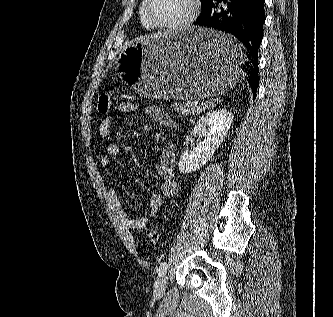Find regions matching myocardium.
I'll return each mask as SVG.
<instances>
[{
  "mask_svg": "<svg viewBox=\"0 0 333 317\" xmlns=\"http://www.w3.org/2000/svg\"><path fill=\"white\" fill-rule=\"evenodd\" d=\"M150 0H143L141 6V13L144 19L148 22V24L152 28L156 29H163V30H170V31H182L188 28L197 18L199 9H200V2L199 0H188L189 10L187 15L178 22L175 23H161L153 20L148 13V5Z\"/></svg>",
  "mask_w": 333,
  "mask_h": 317,
  "instance_id": "obj_1",
  "label": "myocardium"
}]
</instances>
